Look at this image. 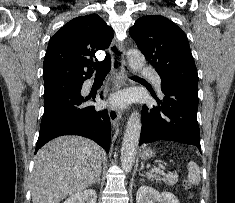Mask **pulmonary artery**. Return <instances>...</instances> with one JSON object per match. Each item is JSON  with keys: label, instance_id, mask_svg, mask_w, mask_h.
Segmentation results:
<instances>
[{"label": "pulmonary artery", "instance_id": "1", "mask_svg": "<svg viewBox=\"0 0 235 203\" xmlns=\"http://www.w3.org/2000/svg\"><path fill=\"white\" fill-rule=\"evenodd\" d=\"M143 74H145L151 79V81L158 90H161V78L156 72L151 70H143Z\"/></svg>", "mask_w": 235, "mask_h": 203}]
</instances>
